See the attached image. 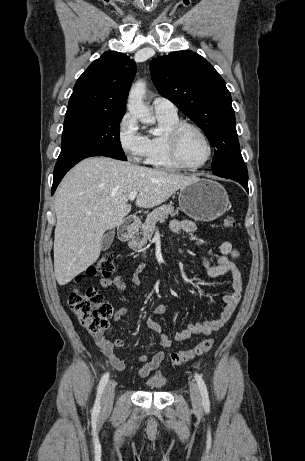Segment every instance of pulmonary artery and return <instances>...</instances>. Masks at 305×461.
I'll return each instance as SVG.
<instances>
[{
	"mask_svg": "<svg viewBox=\"0 0 305 461\" xmlns=\"http://www.w3.org/2000/svg\"><path fill=\"white\" fill-rule=\"evenodd\" d=\"M153 108L156 113L176 114V106L168 99L158 96L153 100Z\"/></svg>",
	"mask_w": 305,
	"mask_h": 461,
	"instance_id": "1",
	"label": "pulmonary artery"
}]
</instances>
